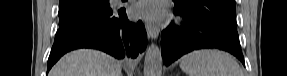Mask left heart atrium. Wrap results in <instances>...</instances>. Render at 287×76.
Listing matches in <instances>:
<instances>
[{
	"mask_svg": "<svg viewBox=\"0 0 287 76\" xmlns=\"http://www.w3.org/2000/svg\"><path fill=\"white\" fill-rule=\"evenodd\" d=\"M134 14L149 20H160L165 16V3L160 0H142L134 7Z\"/></svg>",
	"mask_w": 287,
	"mask_h": 76,
	"instance_id": "obj_1",
	"label": "left heart atrium"
}]
</instances>
